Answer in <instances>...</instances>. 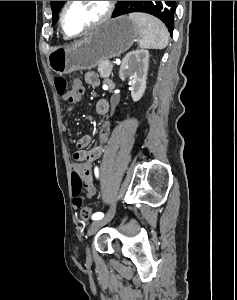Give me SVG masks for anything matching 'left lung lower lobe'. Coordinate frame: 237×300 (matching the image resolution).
Returning <instances> with one entry per match:
<instances>
[{
	"label": "left lung lower lobe",
	"instance_id": "0a47b994",
	"mask_svg": "<svg viewBox=\"0 0 237 300\" xmlns=\"http://www.w3.org/2000/svg\"><path fill=\"white\" fill-rule=\"evenodd\" d=\"M169 3V1H164V4H168ZM113 17H115L114 15H113Z\"/></svg>",
	"mask_w": 237,
	"mask_h": 300
}]
</instances>
